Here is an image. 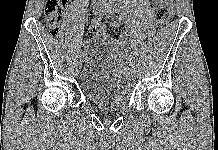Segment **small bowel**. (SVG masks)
<instances>
[{"instance_id":"c3829d8e","label":"small bowel","mask_w":218,"mask_h":150,"mask_svg":"<svg viewBox=\"0 0 218 150\" xmlns=\"http://www.w3.org/2000/svg\"><path fill=\"white\" fill-rule=\"evenodd\" d=\"M154 1L159 6H162V7L164 6V7H167L169 9L173 8V0H154ZM95 25H98V23H95Z\"/></svg>"}]
</instances>
